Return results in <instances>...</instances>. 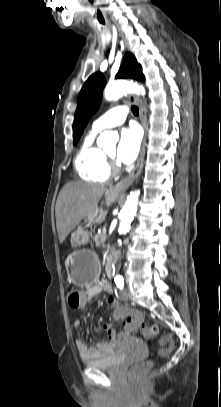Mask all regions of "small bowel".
<instances>
[{
  "label": "small bowel",
  "mask_w": 221,
  "mask_h": 407,
  "mask_svg": "<svg viewBox=\"0 0 221 407\" xmlns=\"http://www.w3.org/2000/svg\"><path fill=\"white\" fill-rule=\"evenodd\" d=\"M88 288V293L85 295V300L86 303L85 305L90 302L93 298H95L100 292L105 289L107 291H111V287L107 283H99V282H92L89 283L87 286ZM108 304L111 306L112 309H115L116 305H122L115 297L109 296L107 299ZM84 305V306H85ZM85 319V318H83ZM117 319V318H115ZM82 324V319H76L74 321V326L76 328L80 327ZM105 331L108 333L111 341L110 342H102L96 347H88L84 340L81 337H78L76 339V347L79 353V356L82 360L88 361V360H94V359H99L102 358L112 351L115 350V348L119 344V337L117 334V330L115 327H113L111 324L107 323L104 325ZM132 331L135 330H127L125 329V332L128 334Z\"/></svg>",
  "instance_id": "obj_1"
}]
</instances>
